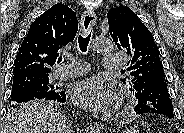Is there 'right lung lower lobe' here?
<instances>
[{
    "label": "right lung lower lobe",
    "mask_w": 184,
    "mask_h": 133,
    "mask_svg": "<svg viewBox=\"0 0 184 133\" xmlns=\"http://www.w3.org/2000/svg\"><path fill=\"white\" fill-rule=\"evenodd\" d=\"M34 99H46V100H53L60 103H64L66 101V95L64 91H57L52 95L49 96H35V95H20L12 99L14 104L27 102Z\"/></svg>",
    "instance_id": "98d812e1"
}]
</instances>
